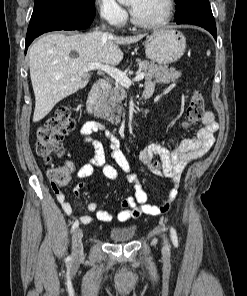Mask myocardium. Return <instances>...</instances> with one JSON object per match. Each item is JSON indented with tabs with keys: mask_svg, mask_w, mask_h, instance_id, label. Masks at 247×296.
Returning <instances> with one entry per match:
<instances>
[{
	"mask_svg": "<svg viewBox=\"0 0 247 296\" xmlns=\"http://www.w3.org/2000/svg\"><path fill=\"white\" fill-rule=\"evenodd\" d=\"M164 2H165V13L160 20L153 23H144L137 20L134 14L131 13L132 24L138 28L148 29V30L159 29L167 25L172 18L175 4H174V0H164Z\"/></svg>",
	"mask_w": 247,
	"mask_h": 296,
	"instance_id": "1",
	"label": "myocardium"
}]
</instances>
